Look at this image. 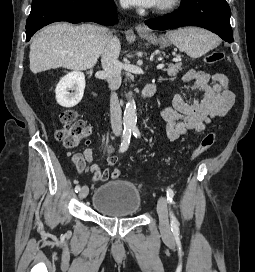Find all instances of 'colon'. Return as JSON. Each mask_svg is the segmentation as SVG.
<instances>
[{"instance_id": "1", "label": "colon", "mask_w": 255, "mask_h": 272, "mask_svg": "<svg viewBox=\"0 0 255 272\" xmlns=\"http://www.w3.org/2000/svg\"><path fill=\"white\" fill-rule=\"evenodd\" d=\"M225 59L223 51H214L206 58L207 64H215ZM60 128L56 132V138L61 141L66 148L72 149L76 147L81 140L89 134V127L86 122L79 118L74 110H65L59 115ZM216 132H208L194 148L191 154V160L195 161L205 154L215 143ZM113 179L120 176L119 170H114L111 173Z\"/></svg>"}]
</instances>
